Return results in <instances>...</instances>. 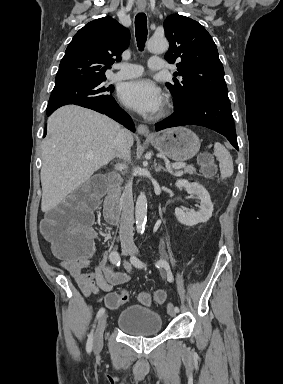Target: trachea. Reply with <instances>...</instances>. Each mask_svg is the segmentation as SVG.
Instances as JSON below:
<instances>
[{"label": "trachea", "mask_w": 283, "mask_h": 384, "mask_svg": "<svg viewBox=\"0 0 283 384\" xmlns=\"http://www.w3.org/2000/svg\"><path fill=\"white\" fill-rule=\"evenodd\" d=\"M135 35L138 48L143 51L148 35L147 18L143 12L138 13L135 17Z\"/></svg>", "instance_id": "trachea-1"}]
</instances>
